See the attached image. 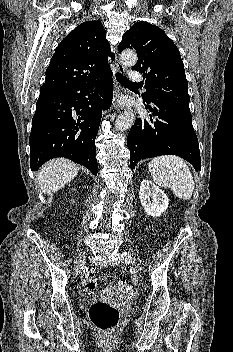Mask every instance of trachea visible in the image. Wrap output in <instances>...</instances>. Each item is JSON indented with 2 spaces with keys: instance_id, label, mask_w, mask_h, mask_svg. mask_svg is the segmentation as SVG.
I'll return each instance as SVG.
<instances>
[{
  "instance_id": "obj_1",
  "label": "trachea",
  "mask_w": 233,
  "mask_h": 352,
  "mask_svg": "<svg viewBox=\"0 0 233 352\" xmlns=\"http://www.w3.org/2000/svg\"><path fill=\"white\" fill-rule=\"evenodd\" d=\"M116 79L119 83L124 84V85H139L137 83H133L129 81L125 76H123L120 73H116Z\"/></svg>"
}]
</instances>
